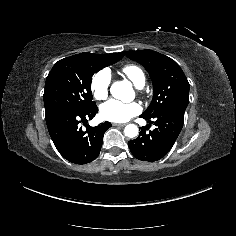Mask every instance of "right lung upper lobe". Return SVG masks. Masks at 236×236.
I'll return each mask as SVG.
<instances>
[{"instance_id": "right-lung-upper-lobe-1", "label": "right lung upper lobe", "mask_w": 236, "mask_h": 236, "mask_svg": "<svg viewBox=\"0 0 236 236\" xmlns=\"http://www.w3.org/2000/svg\"><path fill=\"white\" fill-rule=\"evenodd\" d=\"M114 54H119V55H123V56H124V52H121V53H114Z\"/></svg>"}]
</instances>
